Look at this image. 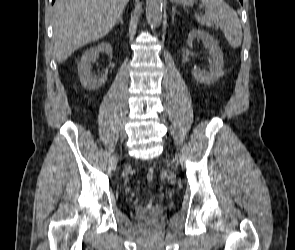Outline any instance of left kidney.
Returning a JSON list of instances; mask_svg holds the SVG:
<instances>
[{"label":"left kidney","instance_id":"left-kidney-1","mask_svg":"<svg viewBox=\"0 0 295 250\" xmlns=\"http://www.w3.org/2000/svg\"><path fill=\"white\" fill-rule=\"evenodd\" d=\"M195 39L201 40L205 47L209 50L210 58L208 61L210 63V70L206 72L200 69H194L192 71V76L196 81L210 85L216 82L224 74L223 54L218 45V41L214 39L209 33L202 30L193 29L188 35V45L192 46Z\"/></svg>","mask_w":295,"mask_h":250}]
</instances>
